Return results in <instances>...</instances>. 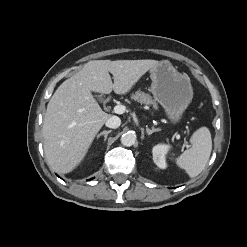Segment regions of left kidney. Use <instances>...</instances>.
<instances>
[{
    "label": "left kidney",
    "instance_id": "obj_1",
    "mask_svg": "<svg viewBox=\"0 0 247 247\" xmlns=\"http://www.w3.org/2000/svg\"><path fill=\"white\" fill-rule=\"evenodd\" d=\"M170 148L167 144H157L152 149L153 161L161 169L167 168L166 154Z\"/></svg>",
    "mask_w": 247,
    "mask_h": 247
}]
</instances>
